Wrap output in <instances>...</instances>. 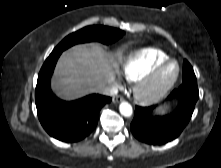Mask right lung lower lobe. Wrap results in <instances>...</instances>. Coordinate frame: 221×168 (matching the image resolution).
<instances>
[{
	"label": "right lung lower lobe",
	"instance_id": "obj_1",
	"mask_svg": "<svg viewBox=\"0 0 221 168\" xmlns=\"http://www.w3.org/2000/svg\"><path fill=\"white\" fill-rule=\"evenodd\" d=\"M51 53L45 60L37 80L35 103L38 118L45 131L63 142H77L88 136L96 127L101 108L111 98L98 94L66 102L57 98L50 88V79L60 56Z\"/></svg>",
	"mask_w": 221,
	"mask_h": 168
}]
</instances>
